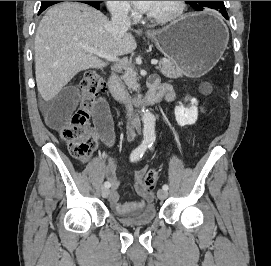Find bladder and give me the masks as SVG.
<instances>
[{"mask_svg": "<svg viewBox=\"0 0 271 266\" xmlns=\"http://www.w3.org/2000/svg\"><path fill=\"white\" fill-rule=\"evenodd\" d=\"M157 216V211L154 206H148L139 211L137 215L128 217L117 215L116 219L127 226H145L151 224Z\"/></svg>", "mask_w": 271, "mask_h": 266, "instance_id": "1", "label": "bladder"}]
</instances>
